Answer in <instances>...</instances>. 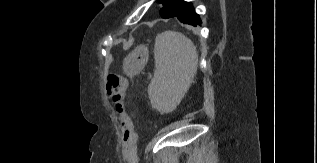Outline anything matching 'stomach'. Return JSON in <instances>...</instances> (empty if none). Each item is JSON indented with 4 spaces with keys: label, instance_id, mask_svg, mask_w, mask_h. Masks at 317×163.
Returning a JSON list of instances; mask_svg holds the SVG:
<instances>
[{
    "label": "stomach",
    "instance_id": "stomach-1",
    "mask_svg": "<svg viewBox=\"0 0 317 163\" xmlns=\"http://www.w3.org/2000/svg\"><path fill=\"white\" fill-rule=\"evenodd\" d=\"M148 48L144 45L136 47L127 55L123 62V69L128 75L141 71L148 61Z\"/></svg>",
    "mask_w": 317,
    "mask_h": 163
}]
</instances>
